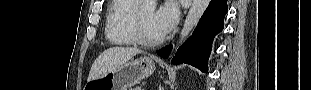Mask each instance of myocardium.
Segmentation results:
<instances>
[{
    "label": "myocardium",
    "mask_w": 311,
    "mask_h": 90,
    "mask_svg": "<svg viewBox=\"0 0 311 90\" xmlns=\"http://www.w3.org/2000/svg\"><path fill=\"white\" fill-rule=\"evenodd\" d=\"M133 32L136 43L145 47L157 46L165 40V35L156 39H150L145 35L139 11H136L133 17Z\"/></svg>",
    "instance_id": "myocardium-1"
}]
</instances>
